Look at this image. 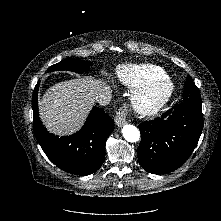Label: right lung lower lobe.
Wrapping results in <instances>:
<instances>
[{"mask_svg": "<svg viewBox=\"0 0 221 221\" xmlns=\"http://www.w3.org/2000/svg\"><path fill=\"white\" fill-rule=\"evenodd\" d=\"M37 83L33 96V125L36 138L47 157L60 169L75 175H90L103 163L105 143L114 129V121L94 107L77 133L59 137L50 134L38 117Z\"/></svg>", "mask_w": 221, "mask_h": 221, "instance_id": "98d812e1", "label": "right lung lower lobe"}]
</instances>
